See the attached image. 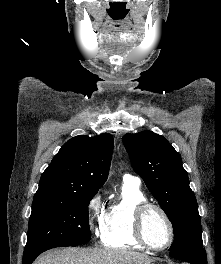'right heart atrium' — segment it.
<instances>
[{"label":"right heart atrium","instance_id":"right-heart-atrium-1","mask_svg":"<svg viewBox=\"0 0 221 264\" xmlns=\"http://www.w3.org/2000/svg\"><path fill=\"white\" fill-rule=\"evenodd\" d=\"M104 215L105 210L101 196L99 194H94L88 200L86 206L87 225L93 234L100 235L103 226Z\"/></svg>","mask_w":221,"mask_h":264}]
</instances>
